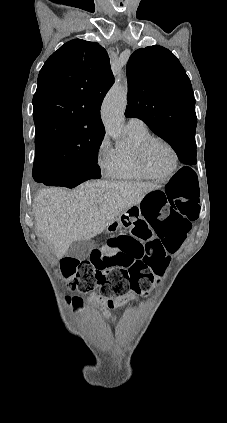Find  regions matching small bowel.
<instances>
[{"instance_id":"obj_1","label":"small bowel","mask_w":227,"mask_h":423,"mask_svg":"<svg viewBox=\"0 0 227 423\" xmlns=\"http://www.w3.org/2000/svg\"><path fill=\"white\" fill-rule=\"evenodd\" d=\"M137 221H139L141 223H145L148 226L147 221L143 217L142 218H139ZM113 254H114V250L111 249V253L109 255H107V256H112ZM90 299L92 301H96V302L101 303L102 306H103V315L106 318H109L110 317V314H109V311H108L109 308H115V307L122 306L127 301L136 299V296H135V294L129 293L126 296H123V297L108 298V297H105V296H99L96 293H94L91 296ZM117 320H118L117 317H113L112 318V322L113 323H115Z\"/></svg>"}]
</instances>
